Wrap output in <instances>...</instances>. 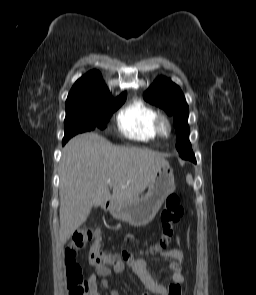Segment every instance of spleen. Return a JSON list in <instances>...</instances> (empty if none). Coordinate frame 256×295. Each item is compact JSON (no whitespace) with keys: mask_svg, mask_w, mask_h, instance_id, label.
Masks as SVG:
<instances>
[{"mask_svg":"<svg viewBox=\"0 0 256 295\" xmlns=\"http://www.w3.org/2000/svg\"><path fill=\"white\" fill-rule=\"evenodd\" d=\"M187 182H188V184H192L193 183V179H192V176L191 175H188L187 176Z\"/></svg>","mask_w":256,"mask_h":295,"instance_id":"obj_1","label":"spleen"}]
</instances>
